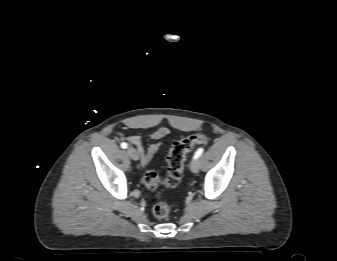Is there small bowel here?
Returning a JSON list of instances; mask_svg holds the SVG:
<instances>
[{"mask_svg":"<svg viewBox=\"0 0 337 261\" xmlns=\"http://www.w3.org/2000/svg\"><path fill=\"white\" fill-rule=\"evenodd\" d=\"M168 135L169 130L166 127H161L148 136L149 143L146 146L141 136L132 135L129 137V141L137 147L142 165H147L153 159Z\"/></svg>","mask_w":337,"mask_h":261,"instance_id":"obj_1","label":"small bowel"}]
</instances>
